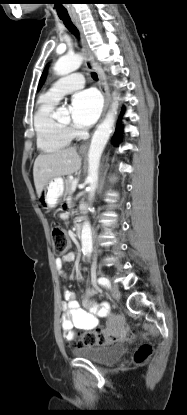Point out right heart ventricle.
Wrapping results in <instances>:
<instances>
[{"label": "right heart ventricle", "instance_id": "1", "mask_svg": "<svg viewBox=\"0 0 187 415\" xmlns=\"http://www.w3.org/2000/svg\"><path fill=\"white\" fill-rule=\"evenodd\" d=\"M57 101L42 96L34 114V129L37 146L44 152H56L69 145L70 131L63 128L54 118L53 110Z\"/></svg>", "mask_w": 187, "mask_h": 415}]
</instances>
